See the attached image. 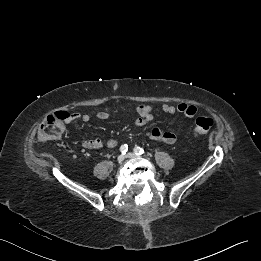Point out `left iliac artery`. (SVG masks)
I'll return each mask as SVG.
<instances>
[{"instance_id":"obj_1","label":"left iliac artery","mask_w":261,"mask_h":261,"mask_svg":"<svg viewBox=\"0 0 261 261\" xmlns=\"http://www.w3.org/2000/svg\"><path fill=\"white\" fill-rule=\"evenodd\" d=\"M134 152H135V154H137V155H141V154L144 153V150H143L142 148H140V147H135V148H134Z\"/></svg>"}]
</instances>
